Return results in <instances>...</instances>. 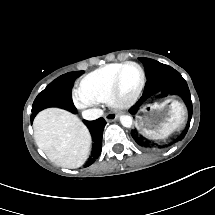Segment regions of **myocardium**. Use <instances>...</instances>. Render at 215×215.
Here are the masks:
<instances>
[{
    "mask_svg": "<svg viewBox=\"0 0 215 215\" xmlns=\"http://www.w3.org/2000/svg\"><path fill=\"white\" fill-rule=\"evenodd\" d=\"M127 66L134 67L139 75L137 84L132 92L122 91L119 89V78L121 77V69ZM145 73L142 69V67L134 61H125L123 63H120L119 68L117 69L114 85L112 84L111 89L107 92L106 98L107 101H109L110 104H113L120 108H127L130 107L139 97L143 86L145 84Z\"/></svg>",
    "mask_w": 215,
    "mask_h": 215,
    "instance_id": "f54148a6",
    "label": "myocardium"
}]
</instances>
